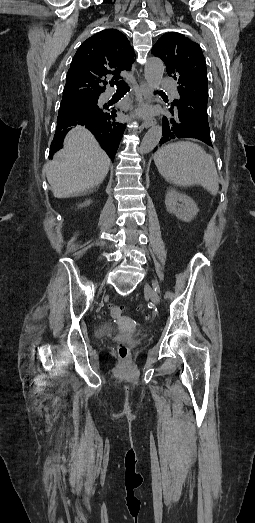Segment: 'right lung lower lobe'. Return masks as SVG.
<instances>
[{
	"label": "right lung lower lobe",
	"mask_w": 255,
	"mask_h": 523,
	"mask_svg": "<svg viewBox=\"0 0 255 523\" xmlns=\"http://www.w3.org/2000/svg\"><path fill=\"white\" fill-rule=\"evenodd\" d=\"M79 117L83 120H86L88 119L89 117H91L92 119H97L99 117V112L97 110H92L90 112V110L86 107H83L79 110ZM85 138L87 140H90L92 138V135L90 133H87L85 135Z\"/></svg>",
	"instance_id": "1"
}]
</instances>
